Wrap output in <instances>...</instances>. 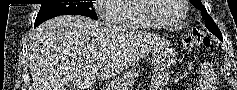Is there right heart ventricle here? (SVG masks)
I'll return each mask as SVG.
<instances>
[{
    "label": "right heart ventricle",
    "mask_w": 237,
    "mask_h": 90,
    "mask_svg": "<svg viewBox=\"0 0 237 90\" xmlns=\"http://www.w3.org/2000/svg\"><path fill=\"white\" fill-rule=\"evenodd\" d=\"M116 4H111L107 9L109 16V24H115V28H145L153 29L150 20H145V16L141 15L139 2L145 0H119Z\"/></svg>",
    "instance_id": "1"
}]
</instances>
